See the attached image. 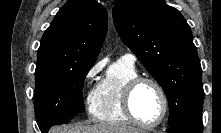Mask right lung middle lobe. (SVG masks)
Wrapping results in <instances>:
<instances>
[{"instance_id": "obj_1", "label": "right lung middle lobe", "mask_w": 221, "mask_h": 133, "mask_svg": "<svg viewBox=\"0 0 221 133\" xmlns=\"http://www.w3.org/2000/svg\"><path fill=\"white\" fill-rule=\"evenodd\" d=\"M94 63H76L35 72V115L41 131L64 124L85 111L82 88Z\"/></svg>"}]
</instances>
